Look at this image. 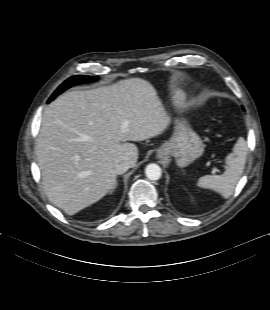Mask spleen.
Returning a JSON list of instances; mask_svg holds the SVG:
<instances>
[{
	"label": "spleen",
	"instance_id": "spleen-1",
	"mask_svg": "<svg viewBox=\"0 0 270 310\" xmlns=\"http://www.w3.org/2000/svg\"><path fill=\"white\" fill-rule=\"evenodd\" d=\"M246 144L239 138L233 147V152L225 159L226 170L222 175H205L199 178L197 186L218 192L224 198H229L239 182L246 163Z\"/></svg>",
	"mask_w": 270,
	"mask_h": 310
}]
</instances>
